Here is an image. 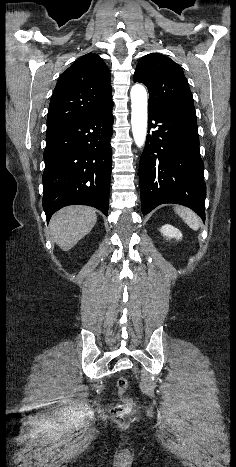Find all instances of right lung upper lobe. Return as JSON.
I'll return each mask as SVG.
<instances>
[{
	"mask_svg": "<svg viewBox=\"0 0 236 467\" xmlns=\"http://www.w3.org/2000/svg\"><path fill=\"white\" fill-rule=\"evenodd\" d=\"M112 102L107 65L97 54H86L59 77L49 105L47 130L85 118Z\"/></svg>",
	"mask_w": 236,
	"mask_h": 467,
	"instance_id": "obj_1",
	"label": "right lung upper lobe"
}]
</instances>
